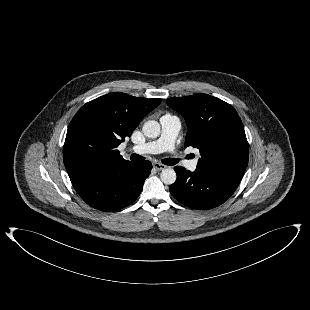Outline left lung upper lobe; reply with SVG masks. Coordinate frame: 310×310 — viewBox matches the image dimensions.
<instances>
[{
	"instance_id": "left-lung-upper-lobe-1",
	"label": "left lung upper lobe",
	"mask_w": 310,
	"mask_h": 310,
	"mask_svg": "<svg viewBox=\"0 0 310 310\" xmlns=\"http://www.w3.org/2000/svg\"><path fill=\"white\" fill-rule=\"evenodd\" d=\"M187 124L185 147L198 148L199 170L241 180L248 164L249 145L236 110L213 96L198 93L167 99Z\"/></svg>"
}]
</instances>
